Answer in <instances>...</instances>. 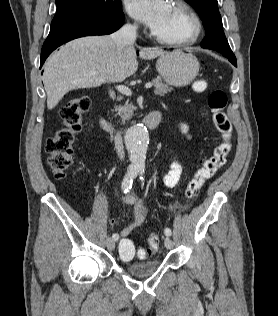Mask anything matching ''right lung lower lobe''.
<instances>
[{
    "mask_svg": "<svg viewBox=\"0 0 278 316\" xmlns=\"http://www.w3.org/2000/svg\"><path fill=\"white\" fill-rule=\"evenodd\" d=\"M108 11L86 12L53 20L42 51L40 68L49 54L60 45L83 36L111 34L123 24L120 1Z\"/></svg>",
    "mask_w": 278,
    "mask_h": 316,
    "instance_id": "98d812e1",
    "label": "right lung lower lobe"
}]
</instances>
